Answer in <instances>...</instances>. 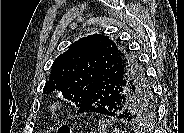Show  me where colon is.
Returning a JSON list of instances; mask_svg holds the SVG:
<instances>
[{
	"label": "colon",
	"mask_w": 184,
	"mask_h": 133,
	"mask_svg": "<svg viewBox=\"0 0 184 133\" xmlns=\"http://www.w3.org/2000/svg\"><path fill=\"white\" fill-rule=\"evenodd\" d=\"M58 133H70V129L67 126H61Z\"/></svg>",
	"instance_id": "colon-1"
}]
</instances>
